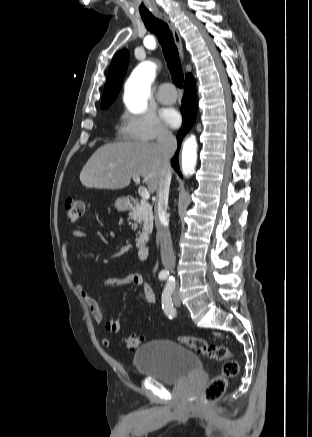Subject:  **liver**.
<instances>
[{"mask_svg":"<svg viewBox=\"0 0 312 437\" xmlns=\"http://www.w3.org/2000/svg\"><path fill=\"white\" fill-rule=\"evenodd\" d=\"M159 173L158 143L118 142L96 150L84 165L80 181L87 188L119 190L127 187L136 175L141 176L148 191L154 193Z\"/></svg>","mask_w":312,"mask_h":437,"instance_id":"liver-1","label":"liver"}]
</instances>
